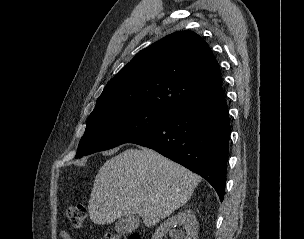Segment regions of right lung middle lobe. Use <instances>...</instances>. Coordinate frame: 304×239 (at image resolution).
<instances>
[{
	"label": "right lung middle lobe",
	"mask_w": 304,
	"mask_h": 239,
	"mask_svg": "<svg viewBox=\"0 0 304 239\" xmlns=\"http://www.w3.org/2000/svg\"><path fill=\"white\" fill-rule=\"evenodd\" d=\"M170 115L147 107H129L90 116L76 158L129 143L162 124Z\"/></svg>",
	"instance_id": "obj_1"
}]
</instances>
